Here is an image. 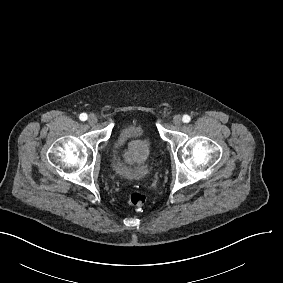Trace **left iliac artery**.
I'll return each mask as SVG.
<instances>
[{
	"instance_id": "left-iliac-artery-1",
	"label": "left iliac artery",
	"mask_w": 283,
	"mask_h": 283,
	"mask_svg": "<svg viewBox=\"0 0 283 283\" xmlns=\"http://www.w3.org/2000/svg\"><path fill=\"white\" fill-rule=\"evenodd\" d=\"M182 120L183 122L188 123L190 122L191 118L188 115H184Z\"/></svg>"
}]
</instances>
